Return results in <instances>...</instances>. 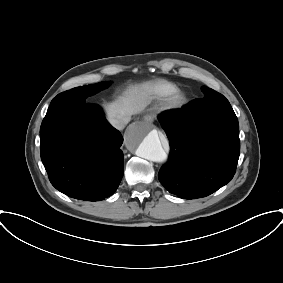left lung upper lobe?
<instances>
[{"mask_svg": "<svg viewBox=\"0 0 283 283\" xmlns=\"http://www.w3.org/2000/svg\"><path fill=\"white\" fill-rule=\"evenodd\" d=\"M202 91L204 92V95H209L212 94L214 92L213 89L207 88V87H202ZM229 127L231 128H235V129H239V124H238V120L236 115L234 116V118L230 121Z\"/></svg>", "mask_w": 283, "mask_h": 283, "instance_id": "obj_1", "label": "left lung upper lobe"}]
</instances>
